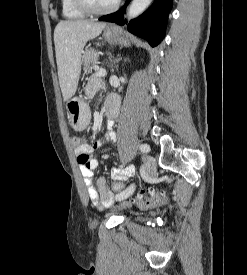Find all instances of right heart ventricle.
Segmentation results:
<instances>
[{
    "label": "right heart ventricle",
    "instance_id": "e07e8e85",
    "mask_svg": "<svg viewBox=\"0 0 247 275\" xmlns=\"http://www.w3.org/2000/svg\"><path fill=\"white\" fill-rule=\"evenodd\" d=\"M62 15L68 19H80L84 13L74 7L71 0H61Z\"/></svg>",
    "mask_w": 247,
    "mask_h": 275
}]
</instances>
